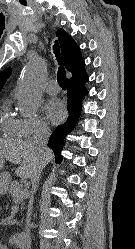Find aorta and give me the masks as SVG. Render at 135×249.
<instances>
[{
	"label": "aorta",
	"mask_w": 135,
	"mask_h": 249,
	"mask_svg": "<svg viewBox=\"0 0 135 249\" xmlns=\"http://www.w3.org/2000/svg\"><path fill=\"white\" fill-rule=\"evenodd\" d=\"M47 75V66L43 59L30 61L24 68L16 93L18 106L28 114H35L42 100V83Z\"/></svg>",
	"instance_id": "obj_1"
}]
</instances>
